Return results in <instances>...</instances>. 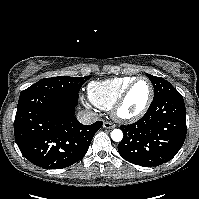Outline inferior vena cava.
Instances as JSON below:
<instances>
[{
  "instance_id": "1",
  "label": "inferior vena cava",
  "mask_w": 199,
  "mask_h": 199,
  "mask_svg": "<svg viewBox=\"0 0 199 199\" xmlns=\"http://www.w3.org/2000/svg\"><path fill=\"white\" fill-rule=\"evenodd\" d=\"M78 120L84 125H90L99 120L98 114L93 111H81L78 114Z\"/></svg>"
}]
</instances>
